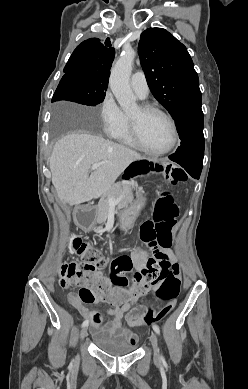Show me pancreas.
<instances>
[{
  "label": "pancreas",
  "instance_id": "cf45deb5",
  "mask_svg": "<svg viewBox=\"0 0 248 389\" xmlns=\"http://www.w3.org/2000/svg\"><path fill=\"white\" fill-rule=\"evenodd\" d=\"M137 187L136 183H126V182H118L113 184L105 195L100 199L97 207V223L104 224L108 217L109 211V198L118 199L120 197L121 200L118 202V207L120 208H128L129 205L132 204L134 195L133 190ZM100 226L98 230H101Z\"/></svg>",
  "mask_w": 248,
  "mask_h": 389
}]
</instances>
